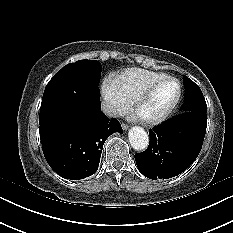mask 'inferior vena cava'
I'll use <instances>...</instances> for the list:
<instances>
[{
    "label": "inferior vena cava",
    "mask_w": 233,
    "mask_h": 233,
    "mask_svg": "<svg viewBox=\"0 0 233 233\" xmlns=\"http://www.w3.org/2000/svg\"><path fill=\"white\" fill-rule=\"evenodd\" d=\"M102 111L107 116H114L116 114V109L107 101H102Z\"/></svg>",
    "instance_id": "1"
}]
</instances>
